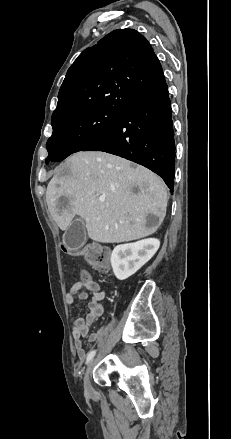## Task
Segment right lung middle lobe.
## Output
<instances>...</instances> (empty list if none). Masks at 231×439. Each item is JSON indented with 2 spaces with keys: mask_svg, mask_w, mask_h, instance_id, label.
I'll return each mask as SVG.
<instances>
[{
  "mask_svg": "<svg viewBox=\"0 0 231 439\" xmlns=\"http://www.w3.org/2000/svg\"><path fill=\"white\" fill-rule=\"evenodd\" d=\"M121 115L119 111L93 108L52 119L53 133L46 144L49 153L46 164L83 151L114 126Z\"/></svg>",
  "mask_w": 231,
  "mask_h": 439,
  "instance_id": "1",
  "label": "right lung middle lobe"
}]
</instances>
